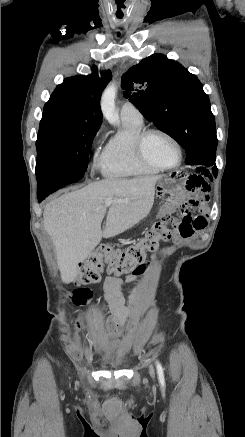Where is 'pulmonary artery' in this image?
Here are the masks:
<instances>
[{"instance_id":"obj_1","label":"pulmonary artery","mask_w":245,"mask_h":437,"mask_svg":"<svg viewBox=\"0 0 245 437\" xmlns=\"http://www.w3.org/2000/svg\"><path fill=\"white\" fill-rule=\"evenodd\" d=\"M120 115L121 118L142 120V114L140 113V111L129 102H126L122 105Z\"/></svg>"}]
</instances>
